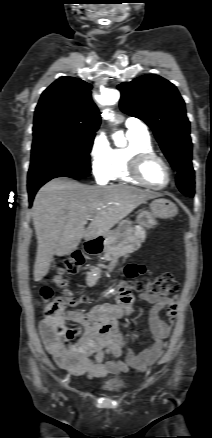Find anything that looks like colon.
<instances>
[{"instance_id":"5ec220e1","label":"colon","mask_w":212,"mask_h":438,"mask_svg":"<svg viewBox=\"0 0 212 438\" xmlns=\"http://www.w3.org/2000/svg\"><path fill=\"white\" fill-rule=\"evenodd\" d=\"M83 262L84 257L78 251L71 253L63 259L59 273L55 277V282L61 287L62 298H54L53 290L49 287H44L41 290V296L46 302L43 309L44 319L54 326L58 334H63L68 340L74 337L75 331L65 329L63 312L66 307L77 306L80 302L84 301V298H76L72 295L71 291L66 288L62 275L77 273ZM126 285L129 289L145 291L153 296L164 297L176 292L178 289V283L170 273H163L146 285L130 282H127Z\"/></svg>"}]
</instances>
